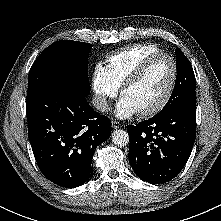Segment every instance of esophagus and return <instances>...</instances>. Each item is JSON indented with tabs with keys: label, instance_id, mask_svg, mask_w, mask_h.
I'll use <instances>...</instances> for the list:
<instances>
[{
	"label": "esophagus",
	"instance_id": "1",
	"mask_svg": "<svg viewBox=\"0 0 221 221\" xmlns=\"http://www.w3.org/2000/svg\"><path fill=\"white\" fill-rule=\"evenodd\" d=\"M111 123H112V127L114 129H118V128H120L122 126V124L120 122L116 121V120H112Z\"/></svg>",
	"mask_w": 221,
	"mask_h": 221
}]
</instances>
